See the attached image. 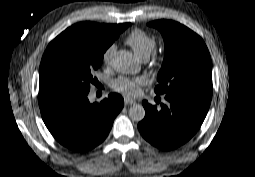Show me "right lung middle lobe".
I'll return each instance as SVG.
<instances>
[{"label": "right lung middle lobe", "instance_id": "1", "mask_svg": "<svg viewBox=\"0 0 255 177\" xmlns=\"http://www.w3.org/2000/svg\"><path fill=\"white\" fill-rule=\"evenodd\" d=\"M130 23L112 36L68 28L47 47L40 64L39 93L49 90L89 91L103 54Z\"/></svg>", "mask_w": 255, "mask_h": 177}]
</instances>
